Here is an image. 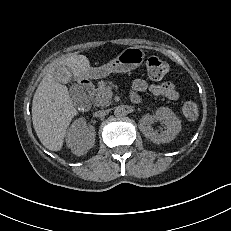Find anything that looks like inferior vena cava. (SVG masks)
Here are the masks:
<instances>
[{"mask_svg": "<svg viewBox=\"0 0 231 231\" xmlns=\"http://www.w3.org/2000/svg\"><path fill=\"white\" fill-rule=\"evenodd\" d=\"M108 113H109L108 110H99V111H96L93 115L95 117H102V116H105Z\"/></svg>", "mask_w": 231, "mask_h": 231, "instance_id": "602c4592", "label": "inferior vena cava"}]
</instances>
